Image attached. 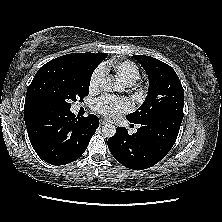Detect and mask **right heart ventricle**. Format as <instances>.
<instances>
[{
    "mask_svg": "<svg viewBox=\"0 0 222 222\" xmlns=\"http://www.w3.org/2000/svg\"><path fill=\"white\" fill-rule=\"evenodd\" d=\"M105 67L112 68L116 78L127 86L134 84L140 77L138 65L130 60H112L108 62Z\"/></svg>",
    "mask_w": 222,
    "mask_h": 222,
    "instance_id": "obj_1",
    "label": "right heart ventricle"
}]
</instances>
